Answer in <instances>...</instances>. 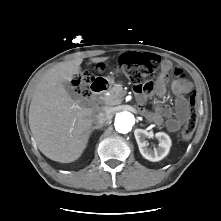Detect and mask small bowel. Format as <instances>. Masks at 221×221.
Here are the masks:
<instances>
[{
	"label": "small bowel",
	"instance_id": "obj_1",
	"mask_svg": "<svg viewBox=\"0 0 221 221\" xmlns=\"http://www.w3.org/2000/svg\"><path fill=\"white\" fill-rule=\"evenodd\" d=\"M148 53L126 52L120 57V61H126L132 56ZM173 71L174 80L172 82L173 90L177 93L178 98L174 108L168 105L158 104L152 111L144 110L148 118L157 124H164L169 132H178L181 126L186 122L189 115V106L185 98V93L191 88L183 69L175 68L171 61L163 60L160 64V73L152 90L147 92L142 88L136 89V94L140 101H145L149 95L155 94L158 97H164L166 94L165 83Z\"/></svg>",
	"mask_w": 221,
	"mask_h": 221
}]
</instances>
